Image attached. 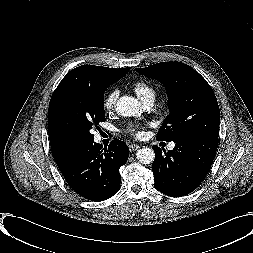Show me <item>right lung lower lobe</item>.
I'll use <instances>...</instances> for the list:
<instances>
[{
  "label": "right lung lower lobe",
  "mask_w": 253,
  "mask_h": 253,
  "mask_svg": "<svg viewBox=\"0 0 253 253\" xmlns=\"http://www.w3.org/2000/svg\"><path fill=\"white\" fill-rule=\"evenodd\" d=\"M128 157V146L117 138L108 148L93 141L83 146L61 173L77 194L92 201H103L119 190V168Z\"/></svg>",
  "instance_id": "right-lung-lower-lobe-1"
}]
</instances>
